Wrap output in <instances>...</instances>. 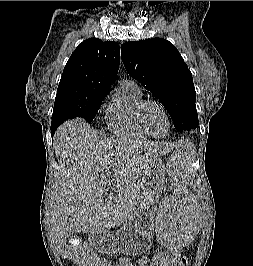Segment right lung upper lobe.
Wrapping results in <instances>:
<instances>
[{
	"mask_svg": "<svg viewBox=\"0 0 253 266\" xmlns=\"http://www.w3.org/2000/svg\"><path fill=\"white\" fill-rule=\"evenodd\" d=\"M120 63V48L114 41L90 38L78 45L69 58L55 101L81 100L108 93Z\"/></svg>",
	"mask_w": 253,
	"mask_h": 266,
	"instance_id": "1",
	"label": "right lung upper lobe"
}]
</instances>
